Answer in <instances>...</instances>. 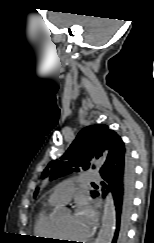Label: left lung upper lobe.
Masks as SVG:
<instances>
[{
	"instance_id": "1",
	"label": "left lung upper lobe",
	"mask_w": 154,
	"mask_h": 243,
	"mask_svg": "<svg viewBox=\"0 0 154 243\" xmlns=\"http://www.w3.org/2000/svg\"><path fill=\"white\" fill-rule=\"evenodd\" d=\"M119 152L122 155L126 154L124 143L119 135L109 129L107 125L85 127L79 132L65 154L60 159L48 164L42 178L49 176L52 180L72 171H79V167L87 170L93 159L101 158L105 161L108 156H117ZM37 192L38 189H36L34 197ZM95 192L91 191V195L94 196Z\"/></svg>"
}]
</instances>
